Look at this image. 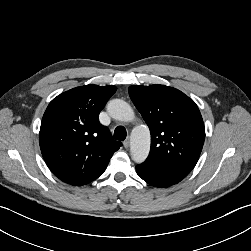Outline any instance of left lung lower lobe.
Wrapping results in <instances>:
<instances>
[{
  "label": "left lung lower lobe",
  "instance_id": "1",
  "mask_svg": "<svg viewBox=\"0 0 251 251\" xmlns=\"http://www.w3.org/2000/svg\"><path fill=\"white\" fill-rule=\"evenodd\" d=\"M136 172L140 178L154 187H169L184 179L190 171L172 167L142 163L136 166Z\"/></svg>",
  "mask_w": 251,
  "mask_h": 251
}]
</instances>
